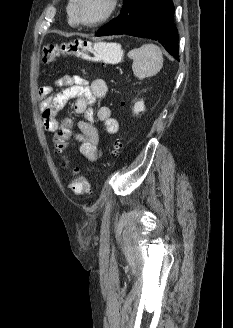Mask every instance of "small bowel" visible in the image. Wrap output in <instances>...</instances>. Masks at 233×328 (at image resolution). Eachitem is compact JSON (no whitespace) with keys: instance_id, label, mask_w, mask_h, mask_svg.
Listing matches in <instances>:
<instances>
[{"instance_id":"obj_1","label":"small bowel","mask_w":233,"mask_h":328,"mask_svg":"<svg viewBox=\"0 0 233 328\" xmlns=\"http://www.w3.org/2000/svg\"><path fill=\"white\" fill-rule=\"evenodd\" d=\"M55 87H61L62 90L55 95H51ZM107 90V84L102 79L89 82L79 75H63L53 84L40 88L38 92L44 125L48 131L53 133L59 126L57 118L59 110L70 100L75 99L73 109L75 113L82 114L84 119L78 122V132L73 135V139L80 143L81 154L92 162L99 160L101 157L99 133L93 124L95 116L103 124L108 134L114 135L119 129L118 122L112 117L110 108L102 106L96 114L93 109L94 103L103 99L107 94Z\"/></svg>"}]
</instances>
